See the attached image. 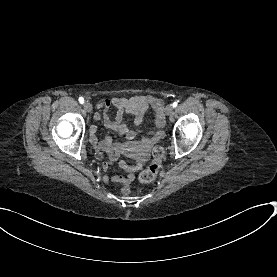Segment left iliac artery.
Returning <instances> with one entry per match:
<instances>
[{
    "label": "left iliac artery",
    "instance_id": "44dca946",
    "mask_svg": "<svg viewBox=\"0 0 277 277\" xmlns=\"http://www.w3.org/2000/svg\"><path fill=\"white\" fill-rule=\"evenodd\" d=\"M177 105H178L177 102H174V103L172 104L173 108L177 107Z\"/></svg>",
    "mask_w": 277,
    "mask_h": 277
}]
</instances>
